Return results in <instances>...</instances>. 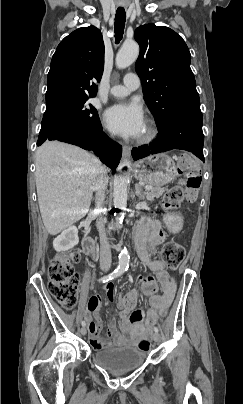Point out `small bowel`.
<instances>
[{
    "mask_svg": "<svg viewBox=\"0 0 243 404\" xmlns=\"http://www.w3.org/2000/svg\"><path fill=\"white\" fill-rule=\"evenodd\" d=\"M165 239L160 223L142 220L139 223L136 234V247L142 262L146 264L157 276L161 283V294H152L149 298L151 308L148 311L136 309L129 317H125L118 325L112 322L109 325V333L115 345L124 346L135 343L138 338L147 332H151L153 325L160 316L166 314L171 305L175 290L176 278L170 274V269L161 261L151 258V252ZM108 300L114 297V288L108 284L105 288ZM100 296L95 294L88 301V310L95 315L100 311ZM100 322L89 321V338L94 348L105 347L104 342L98 340L97 332Z\"/></svg>",
    "mask_w": 243,
    "mask_h": 404,
    "instance_id": "1",
    "label": "small bowel"
}]
</instances>
